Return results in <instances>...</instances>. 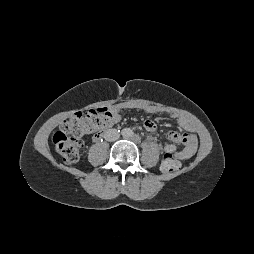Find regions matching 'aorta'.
I'll return each instance as SVG.
<instances>
[{"mask_svg": "<svg viewBox=\"0 0 254 254\" xmlns=\"http://www.w3.org/2000/svg\"><path fill=\"white\" fill-rule=\"evenodd\" d=\"M121 133L125 138H130L133 136V131L130 128H124Z\"/></svg>", "mask_w": 254, "mask_h": 254, "instance_id": "1", "label": "aorta"}]
</instances>
